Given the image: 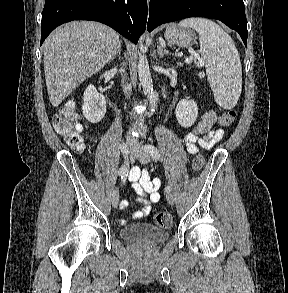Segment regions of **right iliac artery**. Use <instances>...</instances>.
I'll return each instance as SVG.
<instances>
[{
	"instance_id": "obj_1",
	"label": "right iliac artery",
	"mask_w": 288,
	"mask_h": 293,
	"mask_svg": "<svg viewBox=\"0 0 288 293\" xmlns=\"http://www.w3.org/2000/svg\"><path fill=\"white\" fill-rule=\"evenodd\" d=\"M120 148H121V153H122V156H123V160L124 161H127L128 160L127 153L129 151V148L128 147H124V144H122L120 146ZM128 170H129V164L128 163H125L119 169V172H118L119 176H121V174H128Z\"/></svg>"
}]
</instances>
